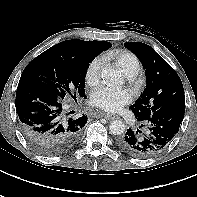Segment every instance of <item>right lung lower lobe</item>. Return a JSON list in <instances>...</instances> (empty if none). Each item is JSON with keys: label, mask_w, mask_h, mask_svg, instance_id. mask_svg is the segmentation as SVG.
<instances>
[{"label": "right lung lower lobe", "mask_w": 197, "mask_h": 197, "mask_svg": "<svg viewBox=\"0 0 197 197\" xmlns=\"http://www.w3.org/2000/svg\"><path fill=\"white\" fill-rule=\"evenodd\" d=\"M15 105L25 136L49 153L58 154L72 148L87 122L85 115L67 117L55 93L30 80L19 81Z\"/></svg>", "instance_id": "98d812e1"}]
</instances>
